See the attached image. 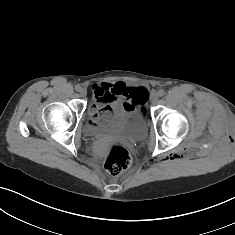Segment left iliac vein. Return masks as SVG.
I'll list each match as a JSON object with an SVG mask.
<instances>
[{"label": "left iliac vein", "mask_w": 235, "mask_h": 235, "mask_svg": "<svg viewBox=\"0 0 235 235\" xmlns=\"http://www.w3.org/2000/svg\"><path fill=\"white\" fill-rule=\"evenodd\" d=\"M150 101L152 104H155L158 101V93L153 92L150 96Z\"/></svg>", "instance_id": "left-iliac-vein-1"}]
</instances>
